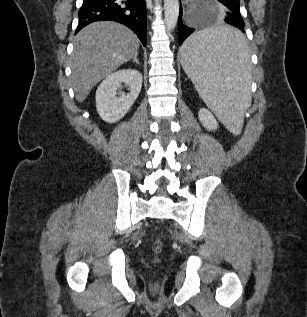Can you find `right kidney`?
Masks as SVG:
<instances>
[{"instance_id": "obj_1", "label": "right kidney", "mask_w": 307, "mask_h": 317, "mask_svg": "<svg viewBox=\"0 0 307 317\" xmlns=\"http://www.w3.org/2000/svg\"><path fill=\"white\" fill-rule=\"evenodd\" d=\"M122 83L130 87V93L119 91ZM141 87L142 75L135 69H122L108 75L96 91V109L101 119L107 123L122 119L137 99Z\"/></svg>"}]
</instances>
